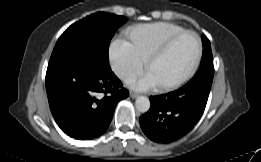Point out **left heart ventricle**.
<instances>
[{
  "label": "left heart ventricle",
  "instance_id": "left-heart-ventricle-1",
  "mask_svg": "<svg viewBox=\"0 0 261 162\" xmlns=\"http://www.w3.org/2000/svg\"><path fill=\"white\" fill-rule=\"evenodd\" d=\"M197 53V41L193 35H184L161 57L152 62L150 71L160 85L182 77L191 67Z\"/></svg>",
  "mask_w": 261,
  "mask_h": 162
}]
</instances>
